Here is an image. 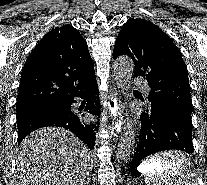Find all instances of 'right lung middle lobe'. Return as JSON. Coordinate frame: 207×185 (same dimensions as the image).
<instances>
[{
  "label": "right lung middle lobe",
  "mask_w": 207,
  "mask_h": 185,
  "mask_svg": "<svg viewBox=\"0 0 207 185\" xmlns=\"http://www.w3.org/2000/svg\"><path fill=\"white\" fill-rule=\"evenodd\" d=\"M51 106H52V105H51ZM40 109H43V108H40ZM40 109L29 110V111H19V112L16 113V117H17V119H18V118H20V117H22V116H24V115H27V114H29V113H32V112L37 111V110H40Z\"/></svg>",
  "instance_id": "dd1d6c3e"
}]
</instances>
